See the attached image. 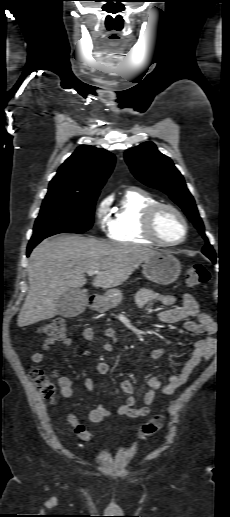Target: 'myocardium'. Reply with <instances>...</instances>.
Instances as JSON below:
<instances>
[{
  "label": "myocardium",
  "instance_id": "1",
  "mask_svg": "<svg viewBox=\"0 0 230 517\" xmlns=\"http://www.w3.org/2000/svg\"><path fill=\"white\" fill-rule=\"evenodd\" d=\"M163 210H169V211L173 212L181 220L183 227H184V232H183L182 237L179 240L166 241L163 238H161L160 235L158 234L157 229H156V223H157L159 214ZM144 231H145V234L150 239H152L155 243H157L161 246H164V247H172V246H177L186 240V238L188 236V232H189V226H188V222H187L185 216L178 208H176L175 206H173L171 204H167V203H156V204L152 205L150 208H148L147 211L145 212Z\"/></svg>",
  "mask_w": 230,
  "mask_h": 517
}]
</instances>
